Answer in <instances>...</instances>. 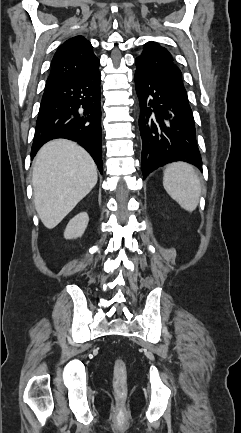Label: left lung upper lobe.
Here are the masks:
<instances>
[{
  "label": "left lung upper lobe",
  "instance_id": "left-lung-upper-lobe-1",
  "mask_svg": "<svg viewBox=\"0 0 241 433\" xmlns=\"http://www.w3.org/2000/svg\"><path fill=\"white\" fill-rule=\"evenodd\" d=\"M135 63L136 71L160 78L190 107L181 70L167 49L156 42H148L145 44L142 54L136 58Z\"/></svg>",
  "mask_w": 241,
  "mask_h": 433
}]
</instances>
